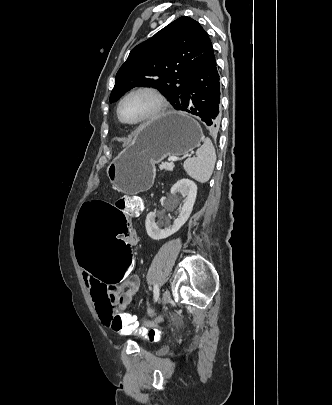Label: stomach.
Listing matches in <instances>:
<instances>
[{
    "instance_id": "0dacf381",
    "label": "stomach",
    "mask_w": 332,
    "mask_h": 405,
    "mask_svg": "<svg viewBox=\"0 0 332 405\" xmlns=\"http://www.w3.org/2000/svg\"><path fill=\"white\" fill-rule=\"evenodd\" d=\"M203 137L200 124L187 113L162 114L137 129L132 143L108 165L107 177L120 192L139 193L152 185L156 163L189 153Z\"/></svg>"
}]
</instances>
